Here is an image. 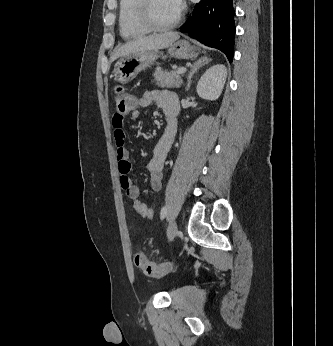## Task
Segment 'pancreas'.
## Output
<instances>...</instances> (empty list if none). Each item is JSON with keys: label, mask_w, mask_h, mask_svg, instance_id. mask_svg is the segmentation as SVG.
<instances>
[{"label": "pancreas", "mask_w": 333, "mask_h": 346, "mask_svg": "<svg viewBox=\"0 0 333 346\" xmlns=\"http://www.w3.org/2000/svg\"><path fill=\"white\" fill-rule=\"evenodd\" d=\"M153 76L156 85L162 88H179L182 84V78L176 71H163L158 67Z\"/></svg>", "instance_id": "pancreas-1"}]
</instances>
